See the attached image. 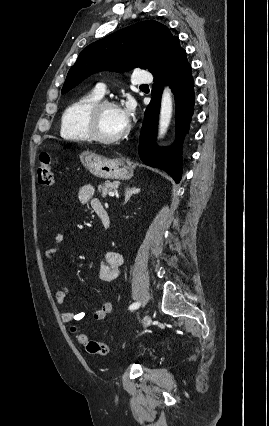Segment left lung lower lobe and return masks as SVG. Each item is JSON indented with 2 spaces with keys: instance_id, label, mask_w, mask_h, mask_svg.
<instances>
[{
  "instance_id": "left-lung-lower-lobe-1",
  "label": "left lung lower lobe",
  "mask_w": 269,
  "mask_h": 426,
  "mask_svg": "<svg viewBox=\"0 0 269 426\" xmlns=\"http://www.w3.org/2000/svg\"><path fill=\"white\" fill-rule=\"evenodd\" d=\"M149 71L154 75V84L152 99L145 111L139 155L146 165L166 171L178 183L182 173L181 142L188 131L195 102L191 66L178 37ZM165 83L170 86L175 96L177 141L169 148H159L155 144V134Z\"/></svg>"
}]
</instances>
